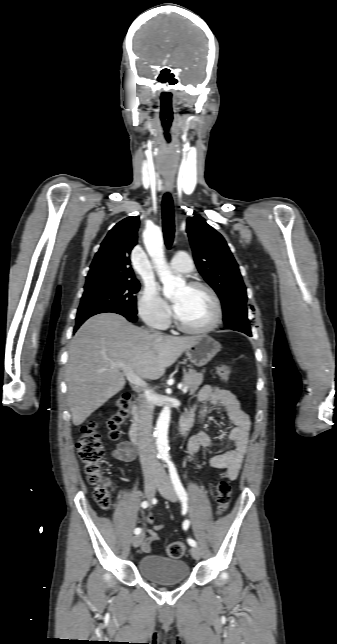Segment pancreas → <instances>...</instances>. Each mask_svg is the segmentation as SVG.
I'll use <instances>...</instances> for the list:
<instances>
[{
    "instance_id": "pancreas-1",
    "label": "pancreas",
    "mask_w": 337,
    "mask_h": 644,
    "mask_svg": "<svg viewBox=\"0 0 337 644\" xmlns=\"http://www.w3.org/2000/svg\"><path fill=\"white\" fill-rule=\"evenodd\" d=\"M203 373L197 372L196 370L190 369L187 374L184 376L183 386H186L190 392V395L194 394L198 387L203 382Z\"/></svg>"
}]
</instances>
